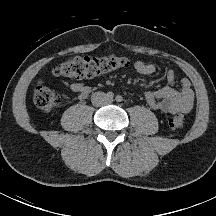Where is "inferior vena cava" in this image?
<instances>
[{"label":"inferior vena cava","mask_w":216,"mask_h":216,"mask_svg":"<svg viewBox=\"0 0 216 216\" xmlns=\"http://www.w3.org/2000/svg\"><path fill=\"white\" fill-rule=\"evenodd\" d=\"M91 102L94 106L100 107L110 103V99L106 93L98 91L92 94Z\"/></svg>","instance_id":"inferior-vena-cava-1"}]
</instances>
